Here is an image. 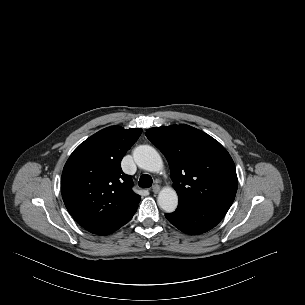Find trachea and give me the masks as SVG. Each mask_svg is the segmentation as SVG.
Segmentation results:
<instances>
[{"label": "trachea", "instance_id": "3493384b", "mask_svg": "<svg viewBox=\"0 0 305 305\" xmlns=\"http://www.w3.org/2000/svg\"><path fill=\"white\" fill-rule=\"evenodd\" d=\"M152 177L148 174H143L139 179V186L142 188H149L152 186Z\"/></svg>", "mask_w": 305, "mask_h": 305}]
</instances>
